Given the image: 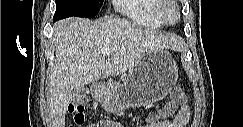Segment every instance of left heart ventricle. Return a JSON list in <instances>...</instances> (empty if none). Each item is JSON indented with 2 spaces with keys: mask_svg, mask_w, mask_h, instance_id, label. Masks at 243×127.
Segmentation results:
<instances>
[{
  "mask_svg": "<svg viewBox=\"0 0 243 127\" xmlns=\"http://www.w3.org/2000/svg\"><path fill=\"white\" fill-rule=\"evenodd\" d=\"M167 13L171 19H175L177 16V13L173 7H169Z\"/></svg>",
  "mask_w": 243,
  "mask_h": 127,
  "instance_id": "obj_1",
  "label": "left heart ventricle"
}]
</instances>
